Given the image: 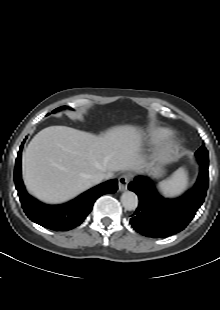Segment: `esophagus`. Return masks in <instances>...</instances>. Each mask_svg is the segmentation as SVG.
Returning <instances> with one entry per match:
<instances>
[{
    "mask_svg": "<svg viewBox=\"0 0 220 310\" xmlns=\"http://www.w3.org/2000/svg\"><path fill=\"white\" fill-rule=\"evenodd\" d=\"M130 177L127 174H123L118 178V189L119 191L127 190Z\"/></svg>",
    "mask_w": 220,
    "mask_h": 310,
    "instance_id": "obj_1",
    "label": "esophagus"
}]
</instances>
